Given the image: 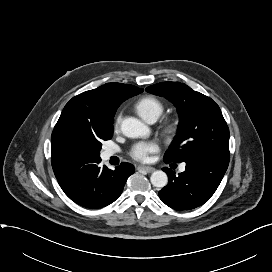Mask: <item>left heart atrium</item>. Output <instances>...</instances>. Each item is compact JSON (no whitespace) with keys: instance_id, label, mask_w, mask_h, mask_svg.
<instances>
[{"instance_id":"left-heart-atrium-1","label":"left heart atrium","mask_w":272,"mask_h":272,"mask_svg":"<svg viewBox=\"0 0 272 272\" xmlns=\"http://www.w3.org/2000/svg\"><path fill=\"white\" fill-rule=\"evenodd\" d=\"M159 150V145L155 141L137 142L131 149V156L138 161L146 162L150 159L151 154Z\"/></svg>"}]
</instances>
